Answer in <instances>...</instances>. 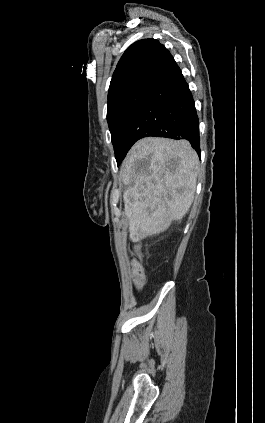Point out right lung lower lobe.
<instances>
[{
    "label": "right lung lower lobe",
    "instance_id": "98d812e1",
    "mask_svg": "<svg viewBox=\"0 0 265 423\" xmlns=\"http://www.w3.org/2000/svg\"><path fill=\"white\" fill-rule=\"evenodd\" d=\"M148 136L188 140L197 154H201L194 100L175 61L131 117L120 146L126 154L136 141Z\"/></svg>",
    "mask_w": 265,
    "mask_h": 423
}]
</instances>
